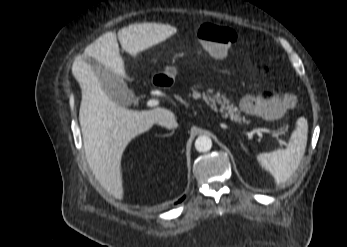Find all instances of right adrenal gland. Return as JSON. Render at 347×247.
<instances>
[{
  "mask_svg": "<svg viewBox=\"0 0 347 247\" xmlns=\"http://www.w3.org/2000/svg\"><path fill=\"white\" fill-rule=\"evenodd\" d=\"M173 133H174V131H172V132L169 133V134H164V135H160V136H161V137H169V136L173 135Z\"/></svg>",
  "mask_w": 347,
  "mask_h": 247,
  "instance_id": "right-adrenal-gland-1",
  "label": "right adrenal gland"
}]
</instances>
